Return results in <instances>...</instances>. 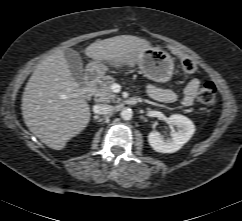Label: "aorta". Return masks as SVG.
<instances>
[{"label":"aorta","instance_id":"obj_1","mask_svg":"<svg viewBox=\"0 0 242 221\" xmlns=\"http://www.w3.org/2000/svg\"><path fill=\"white\" fill-rule=\"evenodd\" d=\"M120 115H121V118L123 120H126L127 121V120H130L132 118L133 112H132V110L130 108H124L121 111Z\"/></svg>","mask_w":242,"mask_h":221}]
</instances>
